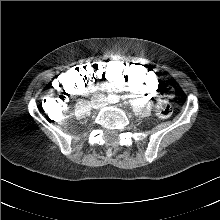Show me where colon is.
<instances>
[{"label": "colon", "instance_id": "1", "mask_svg": "<svg viewBox=\"0 0 220 220\" xmlns=\"http://www.w3.org/2000/svg\"><path fill=\"white\" fill-rule=\"evenodd\" d=\"M109 80L113 83L125 82L139 89L154 91L160 85V74L156 69L144 64L134 61L122 62L118 59L79 65L64 72L51 83L43 107L50 114L63 111L68 95L96 81ZM172 95V87L163 85L158 89V94L153 96L152 105L159 116L167 117L171 114L172 105L168 98Z\"/></svg>", "mask_w": 220, "mask_h": 220}]
</instances>
